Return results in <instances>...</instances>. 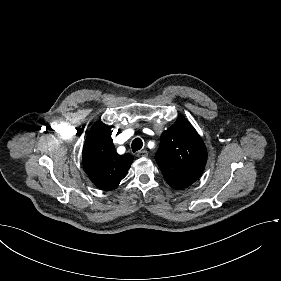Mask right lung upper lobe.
<instances>
[{
	"instance_id": "1",
	"label": "right lung upper lobe",
	"mask_w": 281,
	"mask_h": 281,
	"mask_svg": "<svg viewBox=\"0 0 281 281\" xmlns=\"http://www.w3.org/2000/svg\"><path fill=\"white\" fill-rule=\"evenodd\" d=\"M85 172L100 189L111 191L126 176L133 157L118 155L112 143L111 131L101 121L88 132L82 154Z\"/></svg>"
}]
</instances>
